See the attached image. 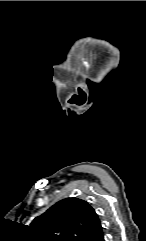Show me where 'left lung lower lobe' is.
<instances>
[{
	"mask_svg": "<svg viewBox=\"0 0 146 241\" xmlns=\"http://www.w3.org/2000/svg\"><path fill=\"white\" fill-rule=\"evenodd\" d=\"M83 241H105L102 227L100 226L96 232L85 237Z\"/></svg>",
	"mask_w": 146,
	"mask_h": 241,
	"instance_id": "left-lung-lower-lobe-1",
	"label": "left lung lower lobe"
}]
</instances>
